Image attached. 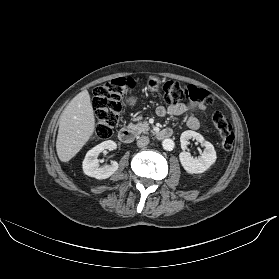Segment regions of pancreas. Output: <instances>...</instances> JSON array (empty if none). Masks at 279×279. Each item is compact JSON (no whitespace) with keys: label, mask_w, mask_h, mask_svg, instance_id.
I'll list each match as a JSON object with an SVG mask.
<instances>
[{"label":"pancreas","mask_w":279,"mask_h":279,"mask_svg":"<svg viewBox=\"0 0 279 279\" xmlns=\"http://www.w3.org/2000/svg\"><path fill=\"white\" fill-rule=\"evenodd\" d=\"M140 118L137 117L134 121H138L136 124L130 123L129 128L136 130L138 133H148L150 127L147 121L140 122Z\"/></svg>","instance_id":"pancreas-1"}]
</instances>
